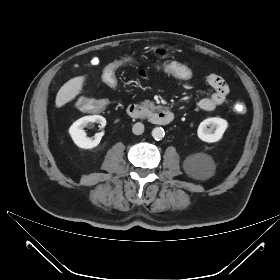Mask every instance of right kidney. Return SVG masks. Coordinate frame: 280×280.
<instances>
[{"instance_id": "1", "label": "right kidney", "mask_w": 280, "mask_h": 280, "mask_svg": "<svg viewBox=\"0 0 280 280\" xmlns=\"http://www.w3.org/2000/svg\"><path fill=\"white\" fill-rule=\"evenodd\" d=\"M93 123H98L103 128L106 125V119L100 115L84 116L70 126L69 134L78 147L92 149L100 143L103 132L97 133L94 138H90L84 130L85 127L91 126Z\"/></svg>"}]
</instances>
